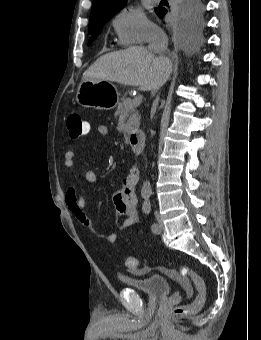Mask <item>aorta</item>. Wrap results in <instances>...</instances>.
<instances>
[{
  "instance_id": "762f6f07",
  "label": "aorta",
  "mask_w": 261,
  "mask_h": 340,
  "mask_svg": "<svg viewBox=\"0 0 261 340\" xmlns=\"http://www.w3.org/2000/svg\"><path fill=\"white\" fill-rule=\"evenodd\" d=\"M152 193V187L149 180H146L143 182L142 188H141V194L143 195H150Z\"/></svg>"
}]
</instances>
